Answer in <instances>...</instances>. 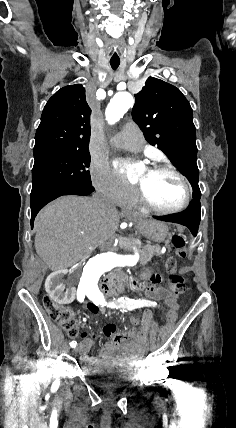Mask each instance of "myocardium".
Segmentation results:
<instances>
[{
	"mask_svg": "<svg viewBox=\"0 0 236 428\" xmlns=\"http://www.w3.org/2000/svg\"><path fill=\"white\" fill-rule=\"evenodd\" d=\"M149 170L151 172L167 171L175 175L181 181L184 189L183 201L176 207L163 208L150 199L145 189L141 185L137 186L138 201L149 209L160 214H175L185 210L189 206L192 197L191 187L188 178L170 162L155 163L149 168Z\"/></svg>",
	"mask_w": 236,
	"mask_h": 428,
	"instance_id": "1",
	"label": "myocardium"
}]
</instances>
